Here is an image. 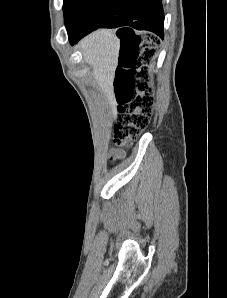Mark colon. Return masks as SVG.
Returning a JSON list of instances; mask_svg holds the SVG:
<instances>
[{
    "instance_id": "5ec220e1",
    "label": "colon",
    "mask_w": 227,
    "mask_h": 298,
    "mask_svg": "<svg viewBox=\"0 0 227 298\" xmlns=\"http://www.w3.org/2000/svg\"><path fill=\"white\" fill-rule=\"evenodd\" d=\"M157 44L155 37L146 35L140 50L126 55L117 71L114 81L119 111L114 139L117 146L130 144L150 123L155 99L147 65Z\"/></svg>"
}]
</instances>
